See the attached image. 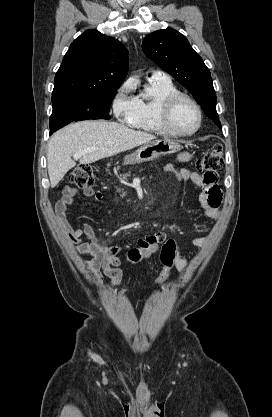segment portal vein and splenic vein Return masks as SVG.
Wrapping results in <instances>:
<instances>
[{
    "label": "portal vein and splenic vein",
    "instance_id": "18ae733b",
    "mask_svg": "<svg viewBox=\"0 0 272 417\" xmlns=\"http://www.w3.org/2000/svg\"><path fill=\"white\" fill-rule=\"evenodd\" d=\"M92 150H93L92 148H87V149L81 150L79 152H76V153L73 154V158L74 159H79L82 155H84L86 153H89Z\"/></svg>",
    "mask_w": 272,
    "mask_h": 417
}]
</instances>
